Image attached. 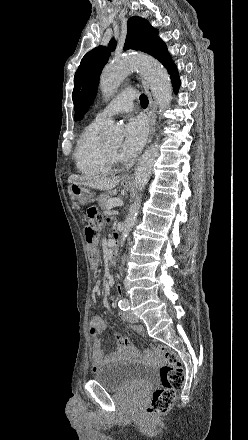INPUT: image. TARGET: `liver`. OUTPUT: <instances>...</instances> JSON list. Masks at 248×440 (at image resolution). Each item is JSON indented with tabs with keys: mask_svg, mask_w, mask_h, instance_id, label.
I'll return each instance as SVG.
<instances>
[{
	"mask_svg": "<svg viewBox=\"0 0 248 440\" xmlns=\"http://www.w3.org/2000/svg\"><path fill=\"white\" fill-rule=\"evenodd\" d=\"M120 179L118 177L107 178V177H92V176H80V175H71L68 178V183H77L83 186H87L93 189L99 190H111L118 183Z\"/></svg>",
	"mask_w": 248,
	"mask_h": 440,
	"instance_id": "6515ba94",
	"label": "liver"
}]
</instances>
